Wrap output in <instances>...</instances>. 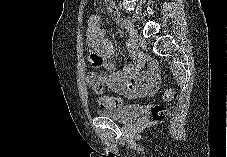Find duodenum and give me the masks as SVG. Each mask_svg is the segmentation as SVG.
<instances>
[{
  "mask_svg": "<svg viewBox=\"0 0 227 157\" xmlns=\"http://www.w3.org/2000/svg\"><path fill=\"white\" fill-rule=\"evenodd\" d=\"M111 11H112V14L114 16V18L116 20H119V12H118V9L116 8V6L114 4H111Z\"/></svg>",
  "mask_w": 227,
  "mask_h": 157,
  "instance_id": "410a0bca",
  "label": "duodenum"
}]
</instances>
